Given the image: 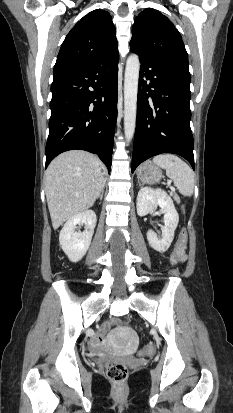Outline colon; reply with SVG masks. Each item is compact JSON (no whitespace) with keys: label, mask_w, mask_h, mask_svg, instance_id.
<instances>
[{"label":"colon","mask_w":233,"mask_h":413,"mask_svg":"<svg viewBox=\"0 0 233 413\" xmlns=\"http://www.w3.org/2000/svg\"><path fill=\"white\" fill-rule=\"evenodd\" d=\"M186 239L187 231L186 229H182L174 252L170 258L171 265H176L180 261V254L182 249L186 246ZM154 350V345L148 344L142 349L141 354L145 356H150L154 353ZM106 372L110 380L116 383H121L126 379L129 372V368L125 364L119 362H110L106 366Z\"/></svg>","instance_id":"obj_1"}]
</instances>
